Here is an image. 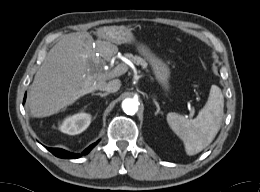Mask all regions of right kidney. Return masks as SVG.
Wrapping results in <instances>:
<instances>
[{"mask_svg": "<svg viewBox=\"0 0 260 192\" xmlns=\"http://www.w3.org/2000/svg\"><path fill=\"white\" fill-rule=\"evenodd\" d=\"M91 123V116L86 113H78L68 117L62 123L60 130L69 135H76L83 132Z\"/></svg>", "mask_w": 260, "mask_h": 192, "instance_id": "obj_1", "label": "right kidney"}]
</instances>
